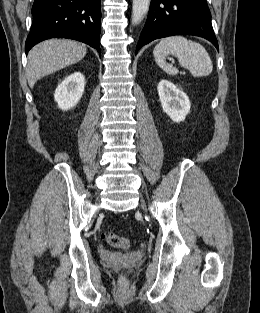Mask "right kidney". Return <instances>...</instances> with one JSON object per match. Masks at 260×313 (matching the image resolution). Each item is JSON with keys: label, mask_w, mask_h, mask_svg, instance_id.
<instances>
[{"label": "right kidney", "mask_w": 260, "mask_h": 313, "mask_svg": "<svg viewBox=\"0 0 260 313\" xmlns=\"http://www.w3.org/2000/svg\"><path fill=\"white\" fill-rule=\"evenodd\" d=\"M85 87V77L81 72L67 76L56 88L54 99L62 110L73 108L81 99Z\"/></svg>", "instance_id": "ca27d5eb"}]
</instances>
